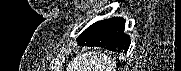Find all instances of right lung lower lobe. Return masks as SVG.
Masks as SVG:
<instances>
[{"instance_id": "1", "label": "right lung lower lobe", "mask_w": 181, "mask_h": 71, "mask_svg": "<svg viewBox=\"0 0 181 71\" xmlns=\"http://www.w3.org/2000/svg\"><path fill=\"white\" fill-rule=\"evenodd\" d=\"M125 20L120 17L99 21L78 38V45L104 47L111 51L128 50L130 37L124 33Z\"/></svg>"}]
</instances>
